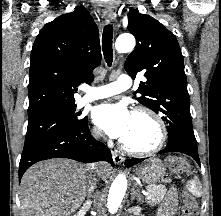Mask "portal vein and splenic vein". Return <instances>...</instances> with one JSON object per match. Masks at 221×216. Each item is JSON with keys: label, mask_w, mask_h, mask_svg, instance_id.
Masks as SVG:
<instances>
[{"label": "portal vein and splenic vein", "mask_w": 221, "mask_h": 216, "mask_svg": "<svg viewBox=\"0 0 221 216\" xmlns=\"http://www.w3.org/2000/svg\"><path fill=\"white\" fill-rule=\"evenodd\" d=\"M144 195H145V196H148V195H149V192H144Z\"/></svg>", "instance_id": "obj_1"}]
</instances>
